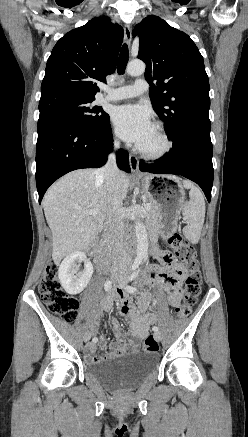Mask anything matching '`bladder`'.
I'll use <instances>...</instances> for the list:
<instances>
[{"label":"bladder","mask_w":248,"mask_h":437,"mask_svg":"<svg viewBox=\"0 0 248 437\" xmlns=\"http://www.w3.org/2000/svg\"><path fill=\"white\" fill-rule=\"evenodd\" d=\"M155 353H128L88 366L87 373L112 390H129L152 373L157 365Z\"/></svg>","instance_id":"31cf9c89"}]
</instances>
